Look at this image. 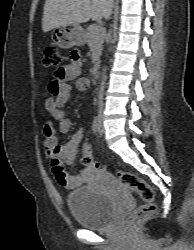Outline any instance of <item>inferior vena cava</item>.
<instances>
[{
    "mask_svg": "<svg viewBox=\"0 0 194 250\" xmlns=\"http://www.w3.org/2000/svg\"><path fill=\"white\" fill-rule=\"evenodd\" d=\"M104 73L102 75V82H101V86H100V91H99V97H98V107H99V116L102 115V111H103V92H104V84H105V71L106 69L103 70Z\"/></svg>",
    "mask_w": 194,
    "mask_h": 250,
    "instance_id": "obj_1",
    "label": "inferior vena cava"
}]
</instances>
